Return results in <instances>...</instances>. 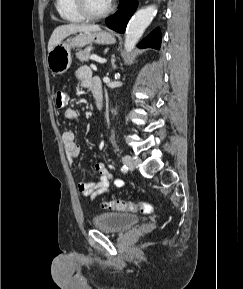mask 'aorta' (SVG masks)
Here are the masks:
<instances>
[{
  "instance_id": "aorta-1",
  "label": "aorta",
  "mask_w": 243,
  "mask_h": 289,
  "mask_svg": "<svg viewBox=\"0 0 243 289\" xmlns=\"http://www.w3.org/2000/svg\"><path fill=\"white\" fill-rule=\"evenodd\" d=\"M157 13L155 5L147 6L135 13V15L129 21L126 33L124 48L126 52H131L141 36L143 35L145 29L150 25L153 18Z\"/></svg>"
}]
</instances>
